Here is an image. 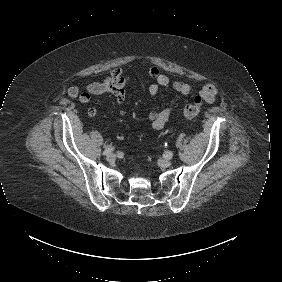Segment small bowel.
Returning a JSON list of instances; mask_svg holds the SVG:
<instances>
[{
  "mask_svg": "<svg viewBox=\"0 0 282 282\" xmlns=\"http://www.w3.org/2000/svg\"><path fill=\"white\" fill-rule=\"evenodd\" d=\"M147 72L154 80L148 89L151 96H156L161 88L169 86L183 95H188L192 92V87L189 84L180 81L172 82L169 77L163 74L160 69L155 66L149 67ZM129 80V76L124 75L123 70L120 67H117L113 69L111 74L102 82L91 83L87 85L83 91L77 86H71L68 88L67 94L71 98H79L82 102H88L82 100L83 95H89L91 98V96L111 94L116 98L119 114L124 116L125 110L123 106L126 100L125 87ZM199 93L203 96L205 102L213 103L216 100L217 89L212 84H205L200 88ZM174 110L175 107H167L161 111L152 112L149 116L150 127L155 130L162 129ZM97 112V108L91 107L88 109L87 115L88 117L93 118L97 115ZM116 137L121 141L124 140L125 134L119 131L117 132Z\"/></svg>",
  "mask_w": 282,
  "mask_h": 282,
  "instance_id": "c3829d8e",
  "label": "small bowel"
}]
</instances>
